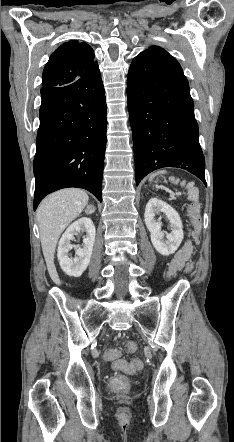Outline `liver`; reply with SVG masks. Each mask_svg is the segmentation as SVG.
<instances>
[{
    "label": "liver",
    "instance_id": "1",
    "mask_svg": "<svg viewBox=\"0 0 234 442\" xmlns=\"http://www.w3.org/2000/svg\"><path fill=\"white\" fill-rule=\"evenodd\" d=\"M89 197L76 188L59 190L47 196L37 210V222L47 270L54 283L60 284L54 264L57 242L64 229L83 211Z\"/></svg>",
    "mask_w": 234,
    "mask_h": 442
}]
</instances>
